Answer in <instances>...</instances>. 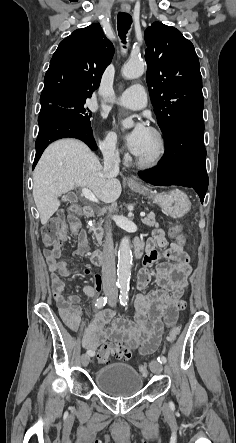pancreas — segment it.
Listing matches in <instances>:
<instances>
[{
	"label": "pancreas",
	"mask_w": 236,
	"mask_h": 443,
	"mask_svg": "<svg viewBox=\"0 0 236 443\" xmlns=\"http://www.w3.org/2000/svg\"><path fill=\"white\" fill-rule=\"evenodd\" d=\"M143 224L149 227H158L159 224L155 220V214L150 212L144 219H142ZM103 221H100L97 225L93 226L91 230L93 231V238H95L99 244L102 243L103 238Z\"/></svg>",
	"instance_id": "pancreas-1"
}]
</instances>
